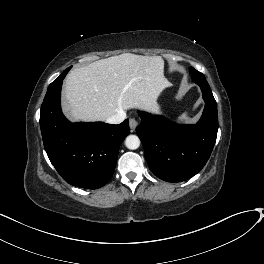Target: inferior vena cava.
I'll use <instances>...</instances> for the list:
<instances>
[{
  "instance_id": "inferior-vena-cava-1",
  "label": "inferior vena cava",
  "mask_w": 264,
  "mask_h": 264,
  "mask_svg": "<svg viewBox=\"0 0 264 264\" xmlns=\"http://www.w3.org/2000/svg\"><path fill=\"white\" fill-rule=\"evenodd\" d=\"M125 118H126V113H125V111L121 110L118 113L108 117L106 119V122L110 123V124H119V123L123 122L125 120Z\"/></svg>"
}]
</instances>
